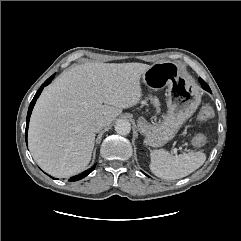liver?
Segmentation results:
<instances>
[{
  "label": "liver",
  "mask_w": 241,
  "mask_h": 241,
  "mask_svg": "<svg viewBox=\"0 0 241 241\" xmlns=\"http://www.w3.org/2000/svg\"><path fill=\"white\" fill-rule=\"evenodd\" d=\"M143 63H86L64 71L39 97L30 119L28 146L48 174L67 178L91 160L96 132L142 98Z\"/></svg>",
  "instance_id": "1"
}]
</instances>
